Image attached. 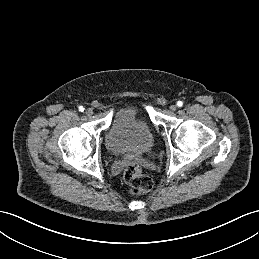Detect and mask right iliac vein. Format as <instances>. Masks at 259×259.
<instances>
[{
  "label": "right iliac vein",
  "instance_id": "1",
  "mask_svg": "<svg viewBox=\"0 0 259 259\" xmlns=\"http://www.w3.org/2000/svg\"><path fill=\"white\" fill-rule=\"evenodd\" d=\"M85 113L87 116H91V115H93V110L89 108L85 111Z\"/></svg>",
  "mask_w": 259,
  "mask_h": 259
}]
</instances>
